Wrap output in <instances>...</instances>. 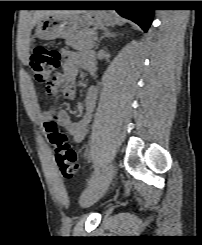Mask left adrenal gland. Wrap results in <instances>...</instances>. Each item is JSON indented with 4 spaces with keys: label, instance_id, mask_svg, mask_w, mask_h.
Instances as JSON below:
<instances>
[{
    "label": "left adrenal gland",
    "instance_id": "left-adrenal-gland-1",
    "mask_svg": "<svg viewBox=\"0 0 202 245\" xmlns=\"http://www.w3.org/2000/svg\"><path fill=\"white\" fill-rule=\"evenodd\" d=\"M117 36V34L116 33H112V32H110V30H105V32H104V35L100 38V40L98 41V44H97V46H96V48H98L99 47V45H100V42H101V40L102 39H104V38H106V37H116Z\"/></svg>",
    "mask_w": 202,
    "mask_h": 245
}]
</instances>
